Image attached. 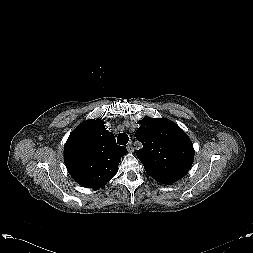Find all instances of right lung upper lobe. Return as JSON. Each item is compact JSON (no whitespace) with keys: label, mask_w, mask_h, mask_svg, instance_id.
Segmentation results:
<instances>
[{"label":"right lung upper lobe","mask_w":253,"mask_h":253,"mask_svg":"<svg viewBox=\"0 0 253 253\" xmlns=\"http://www.w3.org/2000/svg\"><path fill=\"white\" fill-rule=\"evenodd\" d=\"M125 147L105 129L101 119L87 120L69 136L64 162L72 178L85 188H101L117 173Z\"/></svg>","instance_id":"obj_1"}]
</instances>
